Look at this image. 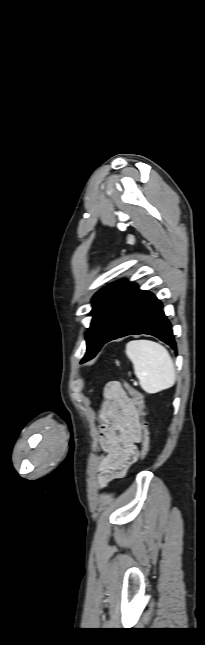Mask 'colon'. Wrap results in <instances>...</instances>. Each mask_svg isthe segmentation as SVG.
<instances>
[{
	"label": "colon",
	"mask_w": 205,
	"mask_h": 645,
	"mask_svg": "<svg viewBox=\"0 0 205 645\" xmlns=\"http://www.w3.org/2000/svg\"><path fill=\"white\" fill-rule=\"evenodd\" d=\"M110 387L113 389L117 390H126L130 397L131 400L133 401L138 415H139V421H140V427H141V451H140V459L143 460L146 458L149 448H150V438H149V432L147 429V424L145 422V404H144V399L143 396L140 392H138L134 387H132L130 384L123 380L119 381H113L109 383Z\"/></svg>",
	"instance_id": "1"
}]
</instances>
